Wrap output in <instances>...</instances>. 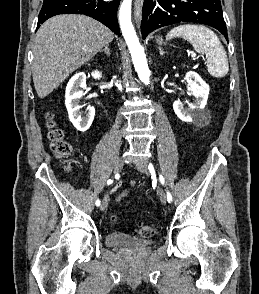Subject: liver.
<instances>
[{
	"label": "liver",
	"instance_id": "1",
	"mask_svg": "<svg viewBox=\"0 0 259 294\" xmlns=\"http://www.w3.org/2000/svg\"><path fill=\"white\" fill-rule=\"evenodd\" d=\"M114 39L100 22L76 14L57 15L36 33L32 75L40 98H45L72 72Z\"/></svg>",
	"mask_w": 259,
	"mask_h": 294
}]
</instances>
